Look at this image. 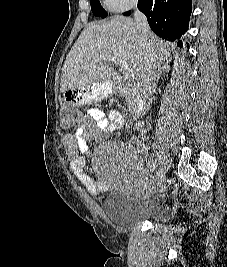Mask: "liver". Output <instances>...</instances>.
Masks as SVG:
<instances>
[{"label": "liver", "instance_id": "1", "mask_svg": "<svg viewBox=\"0 0 227 267\" xmlns=\"http://www.w3.org/2000/svg\"><path fill=\"white\" fill-rule=\"evenodd\" d=\"M167 47L168 43L152 32L144 43L135 21L128 17L114 16L108 21L91 23L66 57L60 90L110 81L115 60L124 61L138 82L150 54H153L158 67L168 64L170 52Z\"/></svg>", "mask_w": 227, "mask_h": 267}]
</instances>
